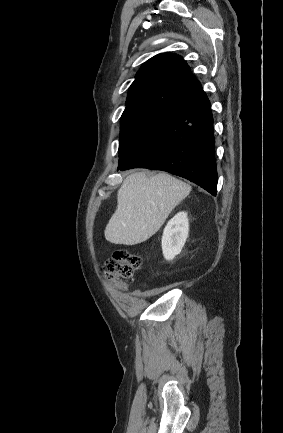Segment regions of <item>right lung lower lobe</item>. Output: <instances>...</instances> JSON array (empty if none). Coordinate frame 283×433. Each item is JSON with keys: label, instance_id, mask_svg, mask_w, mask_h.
I'll return each mask as SVG.
<instances>
[{"label": "right lung lower lobe", "instance_id": "obj_1", "mask_svg": "<svg viewBox=\"0 0 283 433\" xmlns=\"http://www.w3.org/2000/svg\"><path fill=\"white\" fill-rule=\"evenodd\" d=\"M167 171L217 193L213 117L201 92L151 120L119 154L118 169Z\"/></svg>", "mask_w": 283, "mask_h": 433}]
</instances>
